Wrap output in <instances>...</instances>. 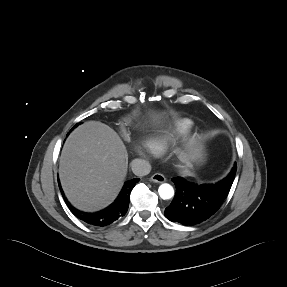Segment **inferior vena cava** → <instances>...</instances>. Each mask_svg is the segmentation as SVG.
<instances>
[{"label": "inferior vena cava", "mask_w": 287, "mask_h": 287, "mask_svg": "<svg viewBox=\"0 0 287 287\" xmlns=\"http://www.w3.org/2000/svg\"><path fill=\"white\" fill-rule=\"evenodd\" d=\"M131 168L133 173L140 177L148 175L151 171L150 163L143 159H134L131 162Z\"/></svg>", "instance_id": "602c4592"}]
</instances>
